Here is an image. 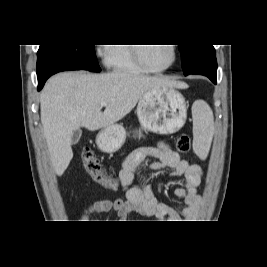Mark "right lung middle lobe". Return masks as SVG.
<instances>
[{
  "instance_id": "obj_1",
  "label": "right lung middle lobe",
  "mask_w": 267,
  "mask_h": 267,
  "mask_svg": "<svg viewBox=\"0 0 267 267\" xmlns=\"http://www.w3.org/2000/svg\"><path fill=\"white\" fill-rule=\"evenodd\" d=\"M55 55L92 72H100L94 45L54 44L40 45L37 56Z\"/></svg>"
}]
</instances>
